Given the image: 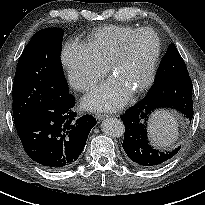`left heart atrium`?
Returning <instances> with one entry per match:
<instances>
[{
  "label": "left heart atrium",
  "instance_id": "39dd6f15",
  "mask_svg": "<svg viewBox=\"0 0 205 205\" xmlns=\"http://www.w3.org/2000/svg\"><path fill=\"white\" fill-rule=\"evenodd\" d=\"M130 96V89L112 76L84 98V106L92 110L111 111L121 107Z\"/></svg>",
  "mask_w": 205,
  "mask_h": 205
}]
</instances>
